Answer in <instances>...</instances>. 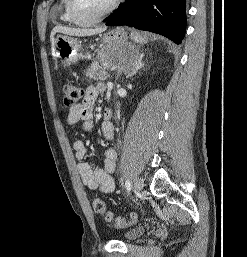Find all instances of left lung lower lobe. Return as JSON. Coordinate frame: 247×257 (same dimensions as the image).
<instances>
[{"label": "left lung lower lobe", "instance_id": "0a47b994", "mask_svg": "<svg viewBox=\"0 0 247 257\" xmlns=\"http://www.w3.org/2000/svg\"><path fill=\"white\" fill-rule=\"evenodd\" d=\"M106 25L135 27L180 44L186 31V0H126L108 17Z\"/></svg>", "mask_w": 247, "mask_h": 257}]
</instances>
